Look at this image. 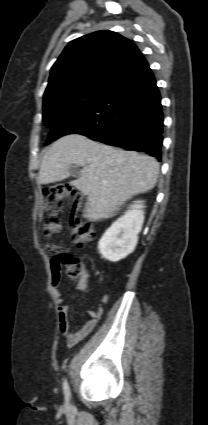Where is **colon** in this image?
<instances>
[{"label":"colon","mask_w":208,"mask_h":425,"mask_svg":"<svg viewBox=\"0 0 208 425\" xmlns=\"http://www.w3.org/2000/svg\"><path fill=\"white\" fill-rule=\"evenodd\" d=\"M45 207L41 216V223L46 236H51L61 230L60 206L63 200L69 196H76L75 191L67 184H55L43 191ZM78 204L76 203L75 209ZM69 228L72 241L81 246L92 241L96 236L94 226L73 212L69 219ZM47 252L52 256L51 265L55 271L62 266L66 267L67 274L73 279L83 277V264L78 257L66 253L64 248L54 242H46L44 245Z\"/></svg>","instance_id":"5ec220e1"}]
</instances>
